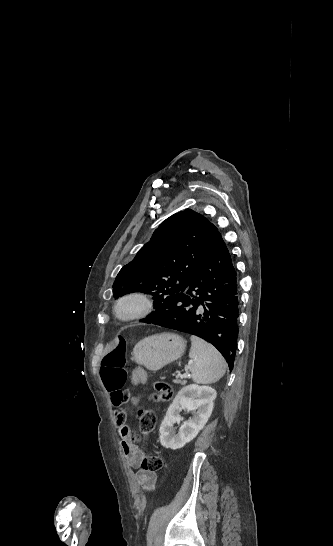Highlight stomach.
<instances>
[{
  "mask_svg": "<svg viewBox=\"0 0 333 546\" xmlns=\"http://www.w3.org/2000/svg\"><path fill=\"white\" fill-rule=\"evenodd\" d=\"M186 348V341L174 333H160L145 337L134 349L131 360L143 363L145 368L156 372L179 359Z\"/></svg>",
  "mask_w": 333,
  "mask_h": 546,
  "instance_id": "obj_1",
  "label": "stomach"
}]
</instances>
